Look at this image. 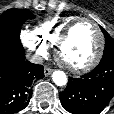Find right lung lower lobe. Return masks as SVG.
I'll return each mask as SVG.
<instances>
[{
  "label": "right lung lower lobe",
  "mask_w": 114,
  "mask_h": 114,
  "mask_svg": "<svg viewBox=\"0 0 114 114\" xmlns=\"http://www.w3.org/2000/svg\"><path fill=\"white\" fill-rule=\"evenodd\" d=\"M43 77V66L25 61L24 49L0 47V114L24 109L32 97V83Z\"/></svg>",
  "instance_id": "obj_1"
}]
</instances>
